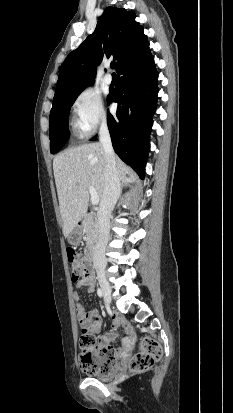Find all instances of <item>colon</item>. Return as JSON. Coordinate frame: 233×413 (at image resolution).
Masks as SVG:
<instances>
[{"label": "colon", "instance_id": "1", "mask_svg": "<svg viewBox=\"0 0 233 413\" xmlns=\"http://www.w3.org/2000/svg\"><path fill=\"white\" fill-rule=\"evenodd\" d=\"M67 258L71 266L73 282L87 279L92 275L88 261L72 248L67 249ZM81 348L80 367L88 374H107L114 370L116 354L112 348H100L98 340L89 334L79 339ZM162 354L160 344L150 337H144L139 351L132 357L129 370L133 373L143 372L151 368Z\"/></svg>", "mask_w": 233, "mask_h": 413}]
</instances>
